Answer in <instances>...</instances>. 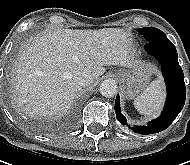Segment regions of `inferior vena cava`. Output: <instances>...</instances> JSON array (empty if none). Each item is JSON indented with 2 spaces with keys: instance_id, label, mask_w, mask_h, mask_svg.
I'll list each match as a JSON object with an SVG mask.
<instances>
[{
  "instance_id": "obj_1",
  "label": "inferior vena cava",
  "mask_w": 190,
  "mask_h": 165,
  "mask_svg": "<svg viewBox=\"0 0 190 165\" xmlns=\"http://www.w3.org/2000/svg\"><path fill=\"white\" fill-rule=\"evenodd\" d=\"M73 81L77 87H86L93 83V77L86 72H77L73 76Z\"/></svg>"
}]
</instances>
